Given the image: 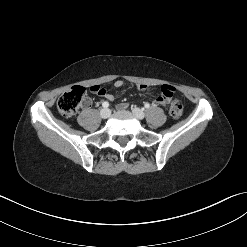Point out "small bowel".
I'll return each instance as SVG.
<instances>
[{
	"label": "small bowel",
	"instance_id": "obj_1",
	"mask_svg": "<svg viewBox=\"0 0 247 247\" xmlns=\"http://www.w3.org/2000/svg\"><path fill=\"white\" fill-rule=\"evenodd\" d=\"M114 87L115 88H121V87H123V85H124V81L123 80H121V79H118V80H116L115 82H114ZM96 86H99V85H94V86H92V88H95ZM164 86H170V85H164ZM149 87V86H148ZM150 88V87H149ZM142 90V88L140 89V91ZM174 90V89H173ZM94 93H96L97 95H99V96H101V97H104V98H106V99H108V100H114V98H115V96L112 94V93H109L105 88H103V87H100V88H97V89H93L92 90ZM147 92V91H146ZM153 94V93H152ZM153 99H154V101L156 102V98L155 97H152ZM169 99H170V97H165V103L164 104H160V105H162V106H165L167 103H168V101H169ZM90 100H86L85 101V103H84V105L85 106H89L90 105ZM157 103V102H156ZM159 104V103H158ZM127 107V104L126 103H120L119 105H118V108L119 109H125Z\"/></svg>",
	"mask_w": 247,
	"mask_h": 247
}]
</instances>
